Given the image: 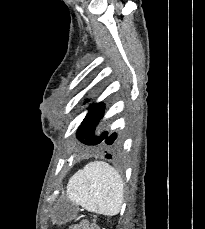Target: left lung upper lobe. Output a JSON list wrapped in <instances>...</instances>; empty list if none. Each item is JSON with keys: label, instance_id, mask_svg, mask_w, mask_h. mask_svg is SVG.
<instances>
[{"label": "left lung upper lobe", "instance_id": "5c2ea615", "mask_svg": "<svg viewBox=\"0 0 205 229\" xmlns=\"http://www.w3.org/2000/svg\"><path fill=\"white\" fill-rule=\"evenodd\" d=\"M103 114V103L90 106L89 112L79 126L76 134L79 141L87 145L103 144V139H98V136L94 135L96 124L100 121Z\"/></svg>", "mask_w": 205, "mask_h": 229}]
</instances>
